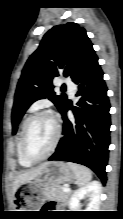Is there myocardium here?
Listing matches in <instances>:
<instances>
[{
  "instance_id": "obj_1",
  "label": "myocardium",
  "mask_w": 123,
  "mask_h": 219,
  "mask_svg": "<svg viewBox=\"0 0 123 219\" xmlns=\"http://www.w3.org/2000/svg\"><path fill=\"white\" fill-rule=\"evenodd\" d=\"M39 116H46L52 120L54 127H55V135H54L53 142L50 148L48 149V151L41 157L34 158L30 156L26 150V138H27L28 130H29L31 123L33 122V120H35ZM60 138H61V126L58 120L56 119V117L52 113L46 110L36 111L27 118V120L25 121L24 127H23V131H22V135L20 139V148H21L22 156L24 157L25 160H27L30 163L41 162L45 160L46 158H48L54 152V150L56 149L60 141Z\"/></svg>"
}]
</instances>
